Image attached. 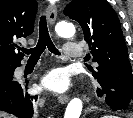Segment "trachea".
<instances>
[{
    "instance_id": "3493384b",
    "label": "trachea",
    "mask_w": 133,
    "mask_h": 118,
    "mask_svg": "<svg viewBox=\"0 0 133 118\" xmlns=\"http://www.w3.org/2000/svg\"><path fill=\"white\" fill-rule=\"evenodd\" d=\"M46 47L51 53L60 55L50 38L46 17L41 16L39 23V40L36 47L30 49L22 48V51L23 53L30 55V60H37L44 52Z\"/></svg>"
}]
</instances>
